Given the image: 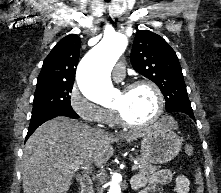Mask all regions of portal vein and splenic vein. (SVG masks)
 <instances>
[{"mask_svg": "<svg viewBox=\"0 0 221 193\" xmlns=\"http://www.w3.org/2000/svg\"><path fill=\"white\" fill-rule=\"evenodd\" d=\"M83 162L81 161H76L73 164L69 165L65 170H71V169H75L78 168L80 165H82ZM133 171L137 170V164H134L131 168Z\"/></svg>", "mask_w": 221, "mask_h": 193, "instance_id": "1", "label": "portal vein and splenic vein"}]
</instances>
